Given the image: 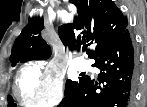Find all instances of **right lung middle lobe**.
Here are the masks:
<instances>
[{
  "mask_svg": "<svg viewBox=\"0 0 147 107\" xmlns=\"http://www.w3.org/2000/svg\"><path fill=\"white\" fill-rule=\"evenodd\" d=\"M30 60H34V59H30ZM77 83L78 81L67 80L65 85V95L71 92L75 88ZM8 102H9V106H15L13 98L11 96H8Z\"/></svg>",
  "mask_w": 147,
  "mask_h": 107,
  "instance_id": "obj_1",
  "label": "right lung middle lobe"
}]
</instances>
